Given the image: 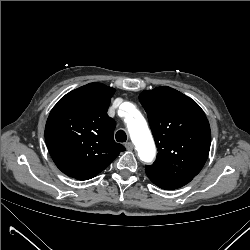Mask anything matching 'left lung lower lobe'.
Here are the masks:
<instances>
[{"label": "left lung lower lobe", "mask_w": 250, "mask_h": 250, "mask_svg": "<svg viewBox=\"0 0 250 250\" xmlns=\"http://www.w3.org/2000/svg\"><path fill=\"white\" fill-rule=\"evenodd\" d=\"M149 179L158 187L166 190H173L180 188L189 183L193 177L180 176V177H164L146 172Z\"/></svg>", "instance_id": "1"}]
</instances>
